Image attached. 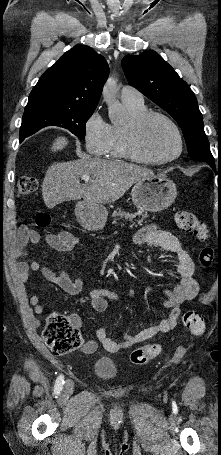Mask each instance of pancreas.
Here are the masks:
<instances>
[{
  "mask_svg": "<svg viewBox=\"0 0 221 455\" xmlns=\"http://www.w3.org/2000/svg\"><path fill=\"white\" fill-rule=\"evenodd\" d=\"M135 216H139L141 217L139 220H138V224H142V222L144 220H146L148 218V214L147 212H140V213H136V214H132L130 212H126L124 210H121L120 208L114 210V212L112 213L111 217L114 218V220H118L119 218L120 219H124L126 221H130L131 222V225L130 227H133V226H137L135 222H133V218Z\"/></svg>",
  "mask_w": 221,
  "mask_h": 455,
  "instance_id": "obj_1",
  "label": "pancreas"
}]
</instances>
